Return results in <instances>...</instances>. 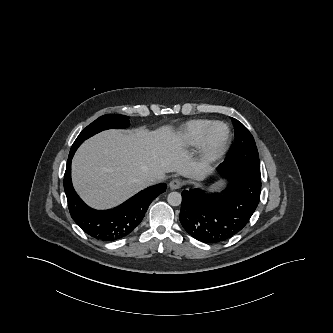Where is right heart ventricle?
I'll return each instance as SVG.
<instances>
[{"instance_id": "1", "label": "right heart ventricle", "mask_w": 333, "mask_h": 333, "mask_svg": "<svg viewBox=\"0 0 333 333\" xmlns=\"http://www.w3.org/2000/svg\"><path fill=\"white\" fill-rule=\"evenodd\" d=\"M213 121L194 119L184 123L179 129L180 138L188 145H198L202 142Z\"/></svg>"}]
</instances>
